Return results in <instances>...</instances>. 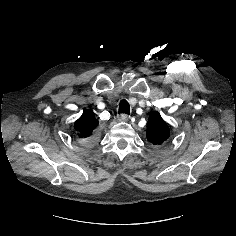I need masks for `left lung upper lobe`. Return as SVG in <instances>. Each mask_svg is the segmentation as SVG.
Masks as SVG:
<instances>
[{
    "instance_id": "5c2ea615",
    "label": "left lung upper lobe",
    "mask_w": 236,
    "mask_h": 236,
    "mask_svg": "<svg viewBox=\"0 0 236 236\" xmlns=\"http://www.w3.org/2000/svg\"><path fill=\"white\" fill-rule=\"evenodd\" d=\"M169 138V127L157 111H153L147 122V139L153 144H162Z\"/></svg>"
}]
</instances>
